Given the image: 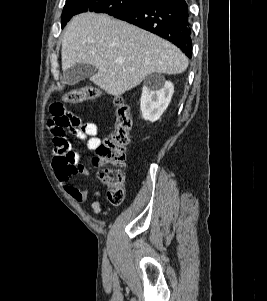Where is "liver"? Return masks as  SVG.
<instances>
[{"label":"liver","mask_w":267,"mask_h":301,"mask_svg":"<svg viewBox=\"0 0 267 301\" xmlns=\"http://www.w3.org/2000/svg\"><path fill=\"white\" fill-rule=\"evenodd\" d=\"M62 70L90 64V80L119 97L151 73L180 74L188 58L172 43L106 14L82 13L68 23L62 38Z\"/></svg>","instance_id":"obj_1"}]
</instances>
